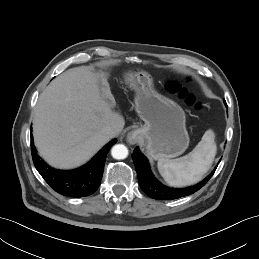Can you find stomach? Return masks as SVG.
Segmentation results:
<instances>
[{"label":"stomach","mask_w":259,"mask_h":259,"mask_svg":"<svg viewBox=\"0 0 259 259\" xmlns=\"http://www.w3.org/2000/svg\"><path fill=\"white\" fill-rule=\"evenodd\" d=\"M125 81L136 92L135 108L145 123L137 131L145 141L148 155L157 160L183 154L189 146L183 109L154 90L146 71H128Z\"/></svg>","instance_id":"0dacf381"}]
</instances>
